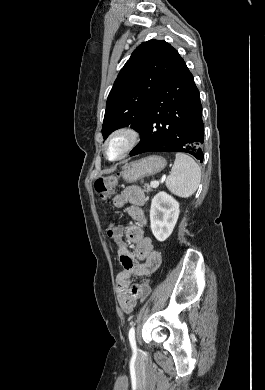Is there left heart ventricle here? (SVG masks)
<instances>
[{
    "mask_svg": "<svg viewBox=\"0 0 265 390\" xmlns=\"http://www.w3.org/2000/svg\"><path fill=\"white\" fill-rule=\"evenodd\" d=\"M123 147V141L121 139H117L113 141L109 148V155L111 157H115L121 151Z\"/></svg>",
    "mask_w": 265,
    "mask_h": 390,
    "instance_id": "obj_1",
    "label": "left heart ventricle"
}]
</instances>
